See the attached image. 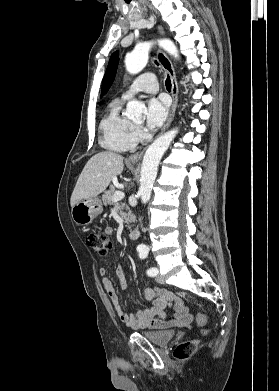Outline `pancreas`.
Instances as JSON below:
<instances>
[{
  "label": "pancreas",
  "instance_id": "pancreas-1",
  "mask_svg": "<svg viewBox=\"0 0 279 391\" xmlns=\"http://www.w3.org/2000/svg\"><path fill=\"white\" fill-rule=\"evenodd\" d=\"M116 190L113 186L110 187L109 190L105 191L102 196V201L105 206L107 205H114V209L119 213L121 218L124 220V223H132L134 222V216L129 210V208L125 205V203H114L112 201V197L115 194ZM124 209L128 210V212H124Z\"/></svg>",
  "mask_w": 279,
  "mask_h": 391
}]
</instances>
